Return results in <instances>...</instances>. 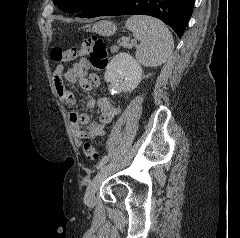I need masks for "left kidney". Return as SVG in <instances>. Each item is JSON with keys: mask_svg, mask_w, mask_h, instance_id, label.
Returning <instances> with one entry per match:
<instances>
[{"mask_svg": "<svg viewBox=\"0 0 240 238\" xmlns=\"http://www.w3.org/2000/svg\"><path fill=\"white\" fill-rule=\"evenodd\" d=\"M142 68L128 53H119L106 67L104 79L111 92H131L140 83Z\"/></svg>", "mask_w": 240, "mask_h": 238, "instance_id": "5707ae66", "label": "left kidney"}]
</instances>
